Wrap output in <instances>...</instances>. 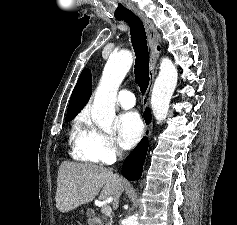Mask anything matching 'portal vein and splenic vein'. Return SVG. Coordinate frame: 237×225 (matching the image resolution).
Masks as SVG:
<instances>
[{"mask_svg":"<svg viewBox=\"0 0 237 225\" xmlns=\"http://www.w3.org/2000/svg\"><path fill=\"white\" fill-rule=\"evenodd\" d=\"M102 213L106 216H110L112 213V209L110 206H103L101 209Z\"/></svg>","mask_w":237,"mask_h":225,"instance_id":"portal-vein-and-splenic-vein-1","label":"portal vein and splenic vein"}]
</instances>
